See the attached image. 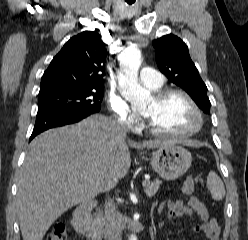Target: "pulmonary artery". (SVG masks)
<instances>
[{
    "instance_id": "e3ab8cb5",
    "label": "pulmonary artery",
    "mask_w": 248,
    "mask_h": 240,
    "mask_svg": "<svg viewBox=\"0 0 248 240\" xmlns=\"http://www.w3.org/2000/svg\"><path fill=\"white\" fill-rule=\"evenodd\" d=\"M139 77L140 80L151 89L159 88L164 83V78L161 73L149 67H143L140 70Z\"/></svg>"
}]
</instances>
